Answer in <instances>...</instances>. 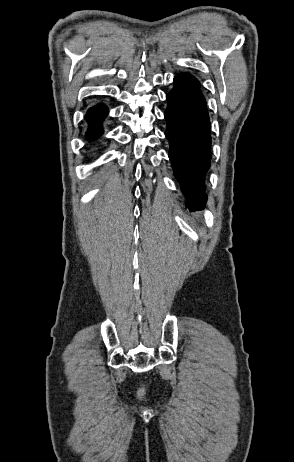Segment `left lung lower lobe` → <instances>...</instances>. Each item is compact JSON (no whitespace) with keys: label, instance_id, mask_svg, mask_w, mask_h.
Masks as SVG:
<instances>
[{"label":"left lung lower lobe","instance_id":"left-lung-lower-lobe-1","mask_svg":"<svg viewBox=\"0 0 294 462\" xmlns=\"http://www.w3.org/2000/svg\"><path fill=\"white\" fill-rule=\"evenodd\" d=\"M166 137L174 173L189 208L202 209L207 195L203 176L211 165L210 121L198 80L188 73L174 78L167 94Z\"/></svg>","mask_w":294,"mask_h":462}]
</instances>
